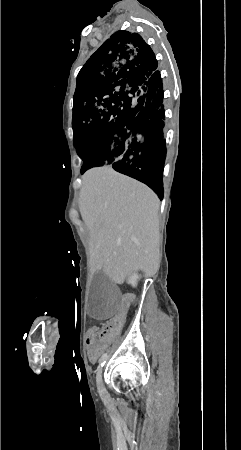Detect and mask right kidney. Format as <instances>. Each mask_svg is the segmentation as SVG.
Segmentation results:
<instances>
[{"label":"right kidney","mask_w":241,"mask_h":450,"mask_svg":"<svg viewBox=\"0 0 241 450\" xmlns=\"http://www.w3.org/2000/svg\"><path fill=\"white\" fill-rule=\"evenodd\" d=\"M138 280H139L138 274H133V276H130V278H128V284H132V286H137Z\"/></svg>","instance_id":"right-kidney-1"}]
</instances>
